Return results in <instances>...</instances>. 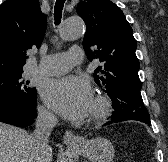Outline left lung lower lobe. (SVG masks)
Listing matches in <instances>:
<instances>
[{
    "instance_id": "obj_1",
    "label": "left lung lower lobe",
    "mask_w": 168,
    "mask_h": 162,
    "mask_svg": "<svg viewBox=\"0 0 168 162\" xmlns=\"http://www.w3.org/2000/svg\"><path fill=\"white\" fill-rule=\"evenodd\" d=\"M111 99L115 109L111 116L112 122L136 120L149 126L151 125L150 116L140 93H125ZM112 122H107L105 125H109Z\"/></svg>"
}]
</instances>
